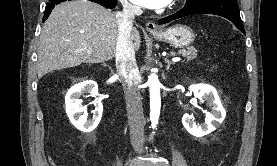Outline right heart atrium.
I'll return each instance as SVG.
<instances>
[{
	"instance_id": "d8ad5b80",
	"label": "right heart atrium",
	"mask_w": 277,
	"mask_h": 166,
	"mask_svg": "<svg viewBox=\"0 0 277 166\" xmlns=\"http://www.w3.org/2000/svg\"><path fill=\"white\" fill-rule=\"evenodd\" d=\"M131 0H120L121 4L126 10L133 11L135 6L130 2Z\"/></svg>"
}]
</instances>
